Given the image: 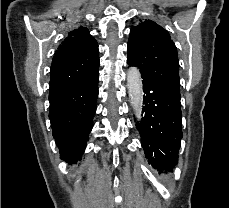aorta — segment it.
Returning a JSON list of instances; mask_svg holds the SVG:
<instances>
[{"mask_svg":"<svg viewBox=\"0 0 229 208\" xmlns=\"http://www.w3.org/2000/svg\"><path fill=\"white\" fill-rule=\"evenodd\" d=\"M127 87L131 106L136 115L140 114L143 107V83L141 73L136 67L128 69Z\"/></svg>","mask_w":229,"mask_h":208,"instance_id":"obj_1","label":"aorta"}]
</instances>
